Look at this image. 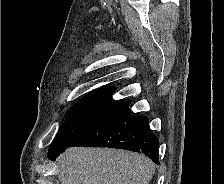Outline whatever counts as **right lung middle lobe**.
Listing matches in <instances>:
<instances>
[{"mask_svg":"<svg viewBox=\"0 0 224 184\" xmlns=\"http://www.w3.org/2000/svg\"><path fill=\"white\" fill-rule=\"evenodd\" d=\"M114 91L111 86L101 87L79 100L59 128L50 148L69 143L109 115L120 104L111 98Z\"/></svg>","mask_w":224,"mask_h":184,"instance_id":"right-lung-middle-lobe-1","label":"right lung middle lobe"}]
</instances>
